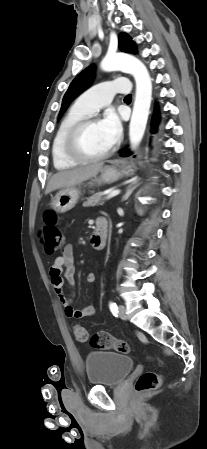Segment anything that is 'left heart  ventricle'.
Returning <instances> with one entry per match:
<instances>
[{
	"label": "left heart ventricle",
	"instance_id": "b2bd125f",
	"mask_svg": "<svg viewBox=\"0 0 207 449\" xmlns=\"http://www.w3.org/2000/svg\"><path fill=\"white\" fill-rule=\"evenodd\" d=\"M79 145L85 153L90 155L100 154L112 146L100 123L92 124L82 131Z\"/></svg>",
	"mask_w": 207,
	"mask_h": 449
}]
</instances>
